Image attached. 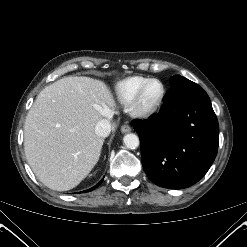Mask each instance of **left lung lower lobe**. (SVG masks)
Returning a JSON list of instances; mask_svg holds the SVG:
<instances>
[{"instance_id":"obj_1","label":"left lung lower lobe","mask_w":247,"mask_h":247,"mask_svg":"<svg viewBox=\"0 0 247 247\" xmlns=\"http://www.w3.org/2000/svg\"><path fill=\"white\" fill-rule=\"evenodd\" d=\"M143 168L161 187L182 189L198 182L218 150L219 125L207 93L197 84L171 88L160 113L134 120Z\"/></svg>"}]
</instances>
